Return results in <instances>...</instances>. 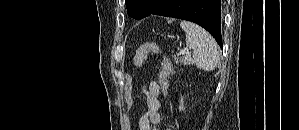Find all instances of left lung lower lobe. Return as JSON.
Returning <instances> with one entry per match:
<instances>
[{"label": "left lung lower lobe", "instance_id": "1", "mask_svg": "<svg viewBox=\"0 0 299 130\" xmlns=\"http://www.w3.org/2000/svg\"><path fill=\"white\" fill-rule=\"evenodd\" d=\"M143 17L151 14L192 21L205 28L222 48L221 0H150Z\"/></svg>", "mask_w": 299, "mask_h": 130}]
</instances>
